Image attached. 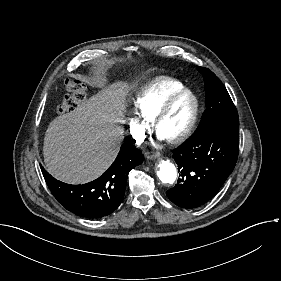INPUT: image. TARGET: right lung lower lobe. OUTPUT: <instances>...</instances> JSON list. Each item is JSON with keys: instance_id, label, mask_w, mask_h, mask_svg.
<instances>
[{"instance_id": "right-lung-lower-lobe-1", "label": "right lung lower lobe", "mask_w": 281, "mask_h": 281, "mask_svg": "<svg viewBox=\"0 0 281 281\" xmlns=\"http://www.w3.org/2000/svg\"><path fill=\"white\" fill-rule=\"evenodd\" d=\"M143 162V155L131 143L123 144L110 168L98 179L83 184L60 182L43 168L46 183L57 201L70 212L85 218L109 215L121 204L128 173Z\"/></svg>"}]
</instances>
